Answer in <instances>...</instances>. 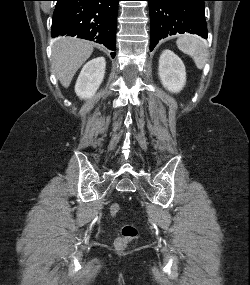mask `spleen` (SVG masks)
Listing matches in <instances>:
<instances>
[{"label": "spleen", "instance_id": "obj_1", "mask_svg": "<svg viewBox=\"0 0 250 285\" xmlns=\"http://www.w3.org/2000/svg\"><path fill=\"white\" fill-rule=\"evenodd\" d=\"M177 47L185 54L191 56L198 69H203L208 56L205 41L197 35L185 34L176 41Z\"/></svg>", "mask_w": 250, "mask_h": 285}]
</instances>
